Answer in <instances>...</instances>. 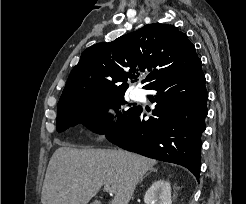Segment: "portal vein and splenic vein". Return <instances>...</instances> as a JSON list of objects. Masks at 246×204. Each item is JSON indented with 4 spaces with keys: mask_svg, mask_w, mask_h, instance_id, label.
I'll use <instances>...</instances> for the list:
<instances>
[{
    "mask_svg": "<svg viewBox=\"0 0 246 204\" xmlns=\"http://www.w3.org/2000/svg\"><path fill=\"white\" fill-rule=\"evenodd\" d=\"M104 189H105V191H107V192H109V193H113V192H114L113 187H111V186H109V185H105V186H104Z\"/></svg>",
    "mask_w": 246,
    "mask_h": 204,
    "instance_id": "1",
    "label": "portal vein and splenic vein"
}]
</instances>
